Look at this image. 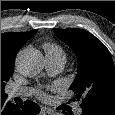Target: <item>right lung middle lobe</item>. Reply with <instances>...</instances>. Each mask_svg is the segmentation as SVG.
Instances as JSON below:
<instances>
[{"instance_id": "dd1d6c3e", "label": "right lung middle lobe", "mask_w": 115, "mask_h": 115, "mask_svg": "<svg viewBox=\"0 0 115 115\" xmlns=\"http://www.w3.org/2000/svg\"><path fill=\"white\" fill-rule=\"evenodd\" d=\"M1 93H2V94H5L3 87L1 88Z\"/></svg>"}]
</instances>
